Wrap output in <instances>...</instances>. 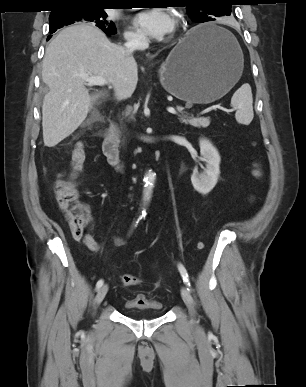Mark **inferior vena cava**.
Masks as SVG:
<instances>
[{
  "instance_id": "602c4592",
  "label": "inferior vena cava",
  "mask_w": 306,
  "mask_h": 387,
  "mask_svg": "<svg viewBox=\"0 0 306 387\" xmlns=\"http://www.w3.org/2000/svg\"><path fill=\"white\" fill-rule=\"evenodd\" d=\"M148 40L143 36H132L127 39L125 43V48L128 52L133 53L135 50H143L148 47ZM132 95V90L130 89H122L118 91L117 98L118 99H126Z\"/></svg>"
}]
</instances>
